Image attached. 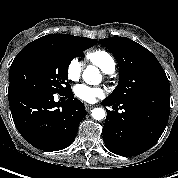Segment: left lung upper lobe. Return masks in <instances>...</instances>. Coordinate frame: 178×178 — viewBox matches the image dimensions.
<instances>
[{"label":"left lung upper lobe","mask_w":178,"mask_h":178,"mask_svg":"<svg viewBox=\"0 0 178 178\" xmlns=\"http://www.w3.org/2000/svg\"><path fill=\"white\" fill-rule=\"evenodd\" d=\"M116 58L120 76L106 98L114 103L143 101L170 110V84L157 58L145 47L126 37L100 39Z\"/></svg>","instance_id":"5c2ea615"}]
</instances>
